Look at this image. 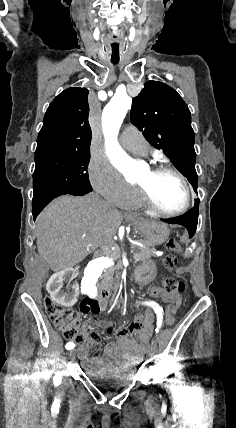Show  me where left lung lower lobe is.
<instances>
[{"instance_id":"left-lung-lower-lobe-1","label":"left lung lower lobe","mask_w":236,"mask_h":428,"mask_svg":"<svg viewBox=\"0 0 236 428\" xmlns=\"http://www.w3.org/2000/svg\"><path fill=\"white\" fill-rule=\"evenodd\" d=\"M198 207H199V199H195L194 207L191 210H189L186 214L176 218L161 219V220L170 224L183 225L189 231L190 238H191L195 234V231L197 228Z\"/></svg>"}]
</instances>
